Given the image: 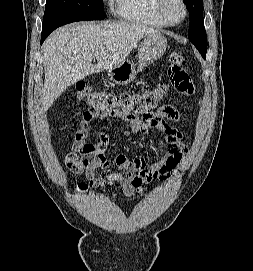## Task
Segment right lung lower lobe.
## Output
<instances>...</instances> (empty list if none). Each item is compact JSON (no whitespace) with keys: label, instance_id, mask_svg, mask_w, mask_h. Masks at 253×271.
<instances>
[{"label":"right lung lower lobe","instance_id":"98d812e1","mask_svg":"<svg viewBox=\"0 0 253 271\" xmlns=\"http://www.w3.org/2000/svg\"><path fill=\"white\" fill-rule=\"evenodd\" d=\"M50 33H42L41 35V44L44 42V40L46 39V37L49 35Z\"/></svg>","mask_w":253,"mask_h":271}]
</instances>
